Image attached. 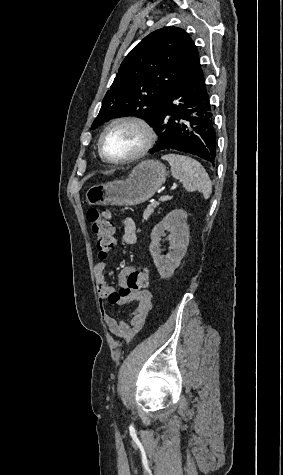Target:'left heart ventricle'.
<instances>
[{"label": "left heart ventricle", "mask_w": 283, "mask_h": 475, "mask_svg": "<svg viewBox=\"0 0 283 475\" xmlns=\"http://www.w3.org/2000/svg\"><path fill=\"white\" fill-rule=\"evenodd\" d=\"M145 139L143 129L123 123L112 128L103 139V150L110 158H120L135 152Z\"/></svg>", "instance_id": "b2bd125f"}]
</instances>
